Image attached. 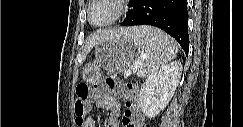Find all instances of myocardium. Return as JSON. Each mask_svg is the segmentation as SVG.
<instances>
[{"mask_svg":"<svg viewBox=\"0 0 243 127\" xmlns=\"http://www.w3.org/2000/svg\"><path fill=\"white\" fill-rule=\"evenodd\" d=\"M99 1H104L107 2L108 4L112 5L115 8V13L112 17L107 19L104 22L101 23H95L91 20L90 18V11L91 7ZM127 11V1L126 0H90L87 8H86V16H87V21L89 22L90 25L94 27H106L109 25L114 24L118 20H120L126 13Z\"/></svg>","mask_w":243,"mask_h":127,"instance_id":"myocardium-1","label":"myocardium"}]
</instances>
